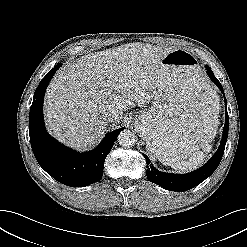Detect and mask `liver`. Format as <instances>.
Returning a JSON list of instances; mask_svg holds the SVG:
<instances>
[{
    "mask_svg": "<svg viewBox=\"0 0 247 247\" xmlns=\"http://www.w3.org/2000/svg\"><path fill=\"white\" fill-rule=\"evenodd\" d=\"M173 49L141 42L82 56L60 68L45 95L44 113L54 137L87 150L107 130L105 116L149 103L165 81L162 59ZM218 121L216 122L217 125Z\"/></svg>",
    "mask_w": 247,
    "mask_h": 247,
    "instance_id": "1",
    "label": "liver"
}]
</instances>
